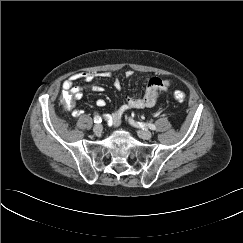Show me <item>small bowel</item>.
<instances>
[{"instance_id":"1","label":"small bowel","mask_w":243,"mask_h":243,"mask_svg":"<svg viewBox=\"0 0 243 243\" xmlns=\"http://www.w3.org/2000/svg\"><path fill=\"white\" fill-rule=\"evenodd\" d=\"M132 72H127V76H131ZM111 74L107 72L102 73H91V72H82L75 75L70 76L66 79L62 88L65 93H69L74 101L80 100L83 96V93L87 90L94 92H102L104 89L102 86L94 84V80L99 77H110ZM84 80L85 82L90 83V85L81 87L75 85L76 80ZM171 81L167 79H163L158 76H151L148 78L147 86L145 92L142 96H127L123 102V104L111 115L110 122L112 125L117 126L120 124L125 113L131 109H144L153 107L159 97L168 91L171 86ZM113 85L116 89L120 90L122 88V83L119 78H114ZM97 106L103 107L106 102L104 99L99 98L96 101ZM74 114L79 116L82 114L81 110H75Z\"/></svg>"}]
</instances>
